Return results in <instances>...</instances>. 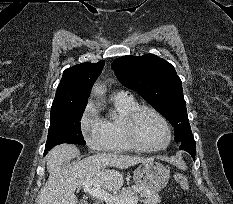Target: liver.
Segmentation results:
<instances>
[{
	"mask_svg": "<svg viewBox=\"0 0 233 204\" xmlns=\"http://www.w3.org/2000/svg\"><path fill=\"white\" fill-rule=\"evenodd\" d=\"M78 155L79 150L72 144L58 145L48 153L49 178L38 196L37 204H79L75 190L91 178L95 179L94 187L117 191L124 181L122 174L114 168L126 169L151 161L143 157L100 153L86 157L73 166H64Z\"/></svg>",
	"mask_w": 233,
	"mask_h": 204,
	"instance_id": "6515ba94",
	"label": "liver"
}]
</instances>
